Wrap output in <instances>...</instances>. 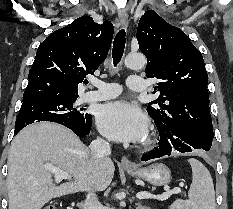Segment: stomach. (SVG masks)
I'll return each mask as SVG.
<instances>
[{"label":"stomach","instance_id":"obj_1","mask_svg":"<svg viewBox=\"0 0 233 209\" xmlns=\"http://www.w3.org/2000/svg\"><path fill=\"white\" fill-rule=\"evenodd\" d=\"M126 171L132 177L142 179L153 186H163L171 181V172L169 168L161 163L136 170L126 169Z\"/></svg>","mask_w":233,"mask_h":209}]
</instances>
